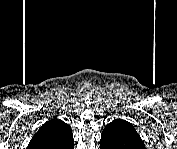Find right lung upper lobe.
<instances>
[{"instance_id":"right-lung-upper-lobe-1","label":"right lung upper lobe","mask_w":177,"mask_h":149,"mask_svg":"<svg viewBox=\"0 0 177 149\" xmlns=\"http://www.w3.org/2000/svg\"><path fill=\"white\" fill-rule=\"evenodd\" d=\"M73 145L71 127L61 120L51 119L39 128L28 147L35 149H71Z\"/></svg>"}]
</instances>
